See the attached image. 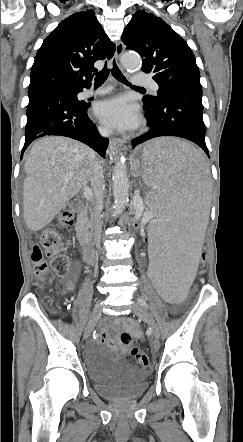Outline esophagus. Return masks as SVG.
<instances>
[{
  "instance_id": "34e87169",
  "label": "esophagus",
  "mask_w": 243,
  "mask_h": 442,
  "mask_svg": "<svg viewBox=\"0 0 243 442\" xmlns=\"http://www.w3.org/2000/svg\"><path fill=\"white\" fill-rule=\"evenodd\" d=\"M123 50H124V43L122 41H119L116 45V51H115V59L117 61L120 60ZM122 149H123V141L121 139L118 138L111 139L109 144V153L111 158L117 157L122 151Z\"/></svg>"
}]
</instances>
